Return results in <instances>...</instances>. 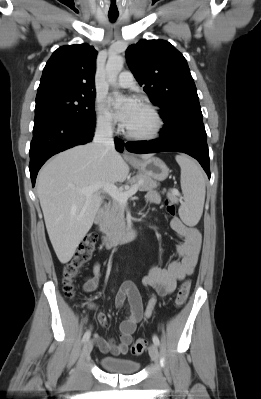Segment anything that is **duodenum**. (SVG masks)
Masks as SVG:
<instances>
[{"label":"duodenum","mask_w":261,"mask_h":399,"mask_svg":"<svg viewBox=\"0 0 261 399\" xmlns=\"http://www.w3.org/2000/svg\"><path fill=\"white\" fill-rule=\"evenodd\" d=\"M96 223L99 230L102 231L104 224V211L102 208L96 212ZM137 236L136 226L131 223L127 225L123 230L115 233L103 232L102 245L105 248H111L120 242L131 241Z\"/></svg>","instance_id":"1"}]
</instances>
